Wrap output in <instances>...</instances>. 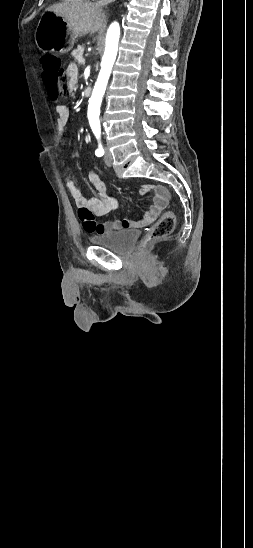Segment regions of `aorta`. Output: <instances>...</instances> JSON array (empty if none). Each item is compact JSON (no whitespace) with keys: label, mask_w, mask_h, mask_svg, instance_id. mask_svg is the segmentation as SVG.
I'll list each match as a JSON object with an SVG mask.
<instances>
[{"label":"aorta","mask_w":253,"mask_h":548,"mask_svg":"<svg viewBox=\"0 0 253 548\" xmlns=\"http://www.w3.org/2000/svg\"><path fill=\"white\" fill-rule=\"evenodd\" d=\"M120 38V26L117 22H113L106 35L105 52L101 61V70L95 83L92 95L89 99L88 117L94 134L100 135L99 110L103 95L110 77L112 67L114 65L118 43Z\"/></svg>","instance_id":"1"}]
</instances>
